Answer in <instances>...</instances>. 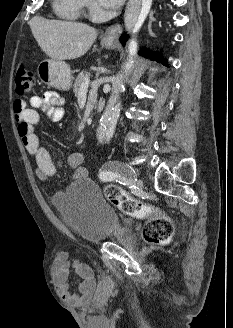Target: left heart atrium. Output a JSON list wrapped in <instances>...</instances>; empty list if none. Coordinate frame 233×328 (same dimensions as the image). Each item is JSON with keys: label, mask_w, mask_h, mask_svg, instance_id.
<instances>
[{"label": "left heart atrium", "mask_w": 233, "mask_h": 328, "mask_svg": "<svg viewBox=\"0 0 233 328\" xmlns=\"http://www.w3.org/2000/svg\"><path fill=\"white\" fill-rule=\"evenodd\" d=\"M124 0H99V2L106 8H118Z\"/></svg>", "instance_id": "1"}]
</instances>
